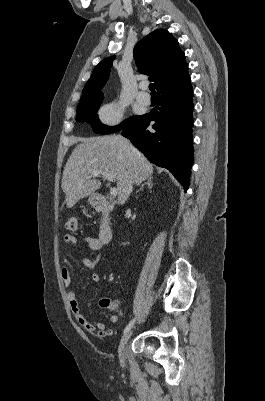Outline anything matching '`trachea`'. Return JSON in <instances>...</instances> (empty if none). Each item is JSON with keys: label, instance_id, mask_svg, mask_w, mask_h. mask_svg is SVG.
<instances>
[{"label": "trachea", "instance_id": "3493384b", "mask_svg": "<svg viewBox=\"0 0 265 401\" xmlns=\"http://www.w3.org/2000/svg\"><path fill=\"white\" fill-rule=\"evenodd\" d=\"M149 90H150L152 93H155V85H154V83H150V85H149Z\"/></svg>", "mask_w": 265, "mask_h": 401}]
</instances>
